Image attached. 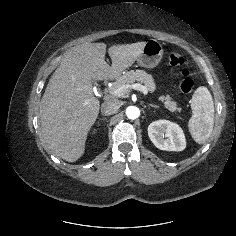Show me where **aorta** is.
I'll use <instances>...</instances> for the list:
<instances>
[{
	"instance_id": "1",
	"label": "aorta",
	"mask_w": 236,
	"mask_h": 236,
	"mask_svg": "<svg viewBox=\"0 0 236 236\" xmlns=\"http://www.w3.org/2000/svg\"><path fill=\"white\" fill-rule=\"evenodd\" d=\"M126 116L129 118V119H136L139 117L140 115V110L136 107V106H129L126 108Z\"/></svg>"
}]
</instances>
